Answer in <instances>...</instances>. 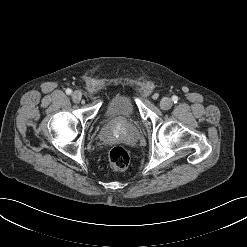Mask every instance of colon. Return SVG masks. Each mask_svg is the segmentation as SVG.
I'll list each match as a JSON object with an SVG mask.
<instances>
[{
  "label": "colon",
  "mask_w": 247,
  "mask_h": 247,
  "mask_svg": "<svg viewBox=\"0 0 247 247\" xmlns=\"http://www.w3.org/2000/svg\"><path fill=\"white\" fill-rule=\"evenodd\" d=\"M109 161L114 169L123 170L127 168L130 162L128 151L122 146H114L109 151Z\"/></svg>",
  "instance_id": "obj_1"
}]
</instances>
